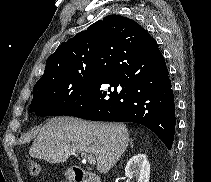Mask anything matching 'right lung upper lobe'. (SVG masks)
Instances as JSON below:
<instances>
[{"mask_svg":"<svg viewBox=\"0 0 211 182\" xmlns=\"http://www.w3.org/2000/svg\"><path fill=\"white\" fill-rule=\"evenodd\" d=\"M104 35L125 36L124 39L136 42H143L152 38L144 28L131 19L119 15L106 16L103 20L92 24L85 31L63 42L47 59L44 74L37 83L95 65L99 42Z\"/></svg>","mask_w":211,"mask_h":182,"instance_id":"cb5924a9","label":"right lung upper lobe"}]
</instances>
